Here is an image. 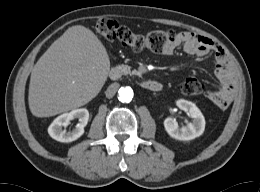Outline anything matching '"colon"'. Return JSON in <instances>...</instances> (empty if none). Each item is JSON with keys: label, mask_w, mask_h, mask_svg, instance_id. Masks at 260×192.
I'll list each match as a JSON object with an SVG mask.
<instances>
[{"label": "colon", "mask_w": 260, "mask_h": 192, "mask_svg": "<svg viewBox=\"0 0 260 192\" xmlns=\"http://www.w3.org/2000/svg\"><path fill=\"white\" fill-rule=\"evenodd\" d=\"M97 33L107 40H117L134 50L150 49L162 52L171 46L178 38L173 30H153L146 34H138L112 18H101L95 25ZM203 85L194 77L187 78L182 85L186 95L202 93Z\"/></svg>", "instance_id": "1"}]
</instances>
